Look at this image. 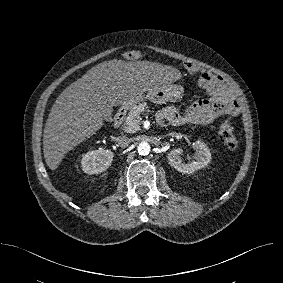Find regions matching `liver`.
Returning <instances> with one entry per match:
<instances>
[{
	"instance_id": "obj_1",
	"label": "liver",
	"mask_w": 283,
	"mask_h": 283,
	"mask_svg": "<svg viewBox=\"0 0 283 283\" xmlns=\"http://www.w3.org/2000/svg\"><path fill=\"white\" fill-rule=\"evenodd\" d=\"M180 77L175 68L150 61L113 59L92 67L64 89L48 115L43 134L47 166L55 170L70 150L94 135L113 106Z\"/></svg>"
}]
</instances>
